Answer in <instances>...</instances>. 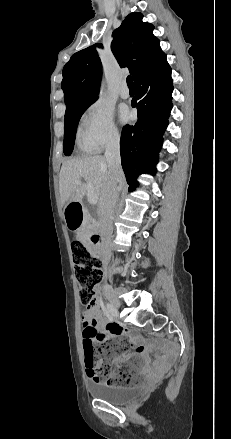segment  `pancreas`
I'll return each mask as SVG.
<instances>
[{"label": "pancreas", "mask_w": 231, "mask_h": 439, "mask_svg": "<svg viewBox=\"0 0 231 439\" xmlns=\"http://www.w3.org/2000/svg\"><path fill=\"white\" fill-rule=\"evenodd\" d=\"M84 227L88 228L90 227L92 224L95 223V219L88 213H85V219H84Z\"/></svg>", "instance_id": "pancreas-1"}]
</instances>
